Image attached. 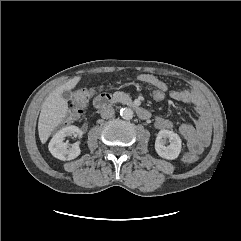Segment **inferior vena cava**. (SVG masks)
<instances>
[{"instance_id":"602c4592","label":"inferior vena cava","mask_w":241,"mask_h":241,"mask_svg":"<svg viewBox=\"0 0 241 241\" xmlns=\"http://www.w3.org/2000/svg\"><path fill=\"white\" fill-rule=\"evenodd\" d=\"M114 109L111 106H106L100 111V115L104 119H109L114 116Z\"/></svg>"}]
</instances>
